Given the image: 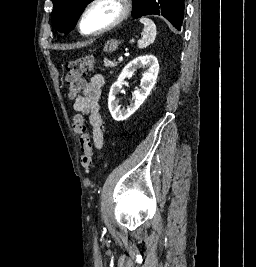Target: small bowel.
Instances as JSON below:
<instances>
[{
    "label": "small bowel",
    "mask_w": 256,
    "mask_h": 267,
    "mask_svg": "<svg viewBox=\"0 0 256 267\" xmlns=\"http://www.w3.org/2000/svg\"><path fill=\"white\" fill-rule=\"evenodd\" d=\"M104 76L94 74L88 81H84L81 94L74 100V110L83 116H88L91 125L90 148L94 146L101 150L104 144V134L102 130V118L98 111V102L101 88L104 85Z\"/></svg>",
    "instance_id": "c3829d8e"
}]
</instances>
